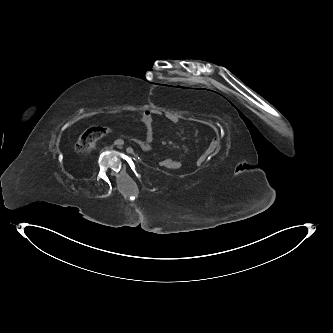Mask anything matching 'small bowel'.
Wrapping results in <instances>:
<instances>
[{
	"label": "small bowel",
	"instance_id": "1",
	"mask_svg": "<svg viewBox=\"0 0 333 333\" xmlns=\"http://www.w3.org/2000/svg\"><path fill=\"white\" fill-rule=\"evenodd\" d=\"M157 116V113H155L152 110H145L142 115H141V122L145 127V131H146V140L150 141L153 138V120L154 117ZM171 123H178L180 121V118L178 116L175 115H171L167 118ZM207 153L201 155L198 160L197 163L199 165L203 164L207 158ZM173 163L171 166H166L164 167L165 169L168 170H176L179 169L181 167V162L175 159H172Z\"/></svg>",
	"mask_w": 333,
	"mask_h": 333
}]
</instances>
